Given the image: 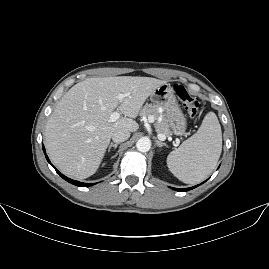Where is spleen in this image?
Masks as SVG:
<instances>
[{"label": "spleen", "mask_w": 269, "mask_h": 269, "mask_svg": "<svg viewBox=\"0 0 269 269\" xmlns=\"http://www.w3.org/2000/svg\"><path fill=\"white\" fill-rule=\"evenodd\" d=\"M221 150V126L217 116L210 112L199 131L167 156L166 164L181 182L197 184L213 172Z\"/></svg>", "instance_id": "spleen-1"}]
</instances>
